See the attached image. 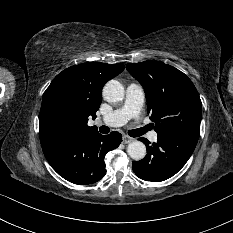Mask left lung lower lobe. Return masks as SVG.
I'll return each instance as SVG.
<instances>
[{
  "mask_svg": "<svg viewBox=\"0 0 233 233\" xmlns=\"http://www.w3.org/2000/svg\"><path fill=\"white\" fill-rule=\"evenodd\" d=\"M140 140L147 147V155L133 161V171L141 179L160 182L175 175L193 153L198 137L192 135L158 136L157 142L149 145L145 138Z\"/></svg>",
  "mask_w": 233,
  "mask_h": 233,
  "instance_id": "obj_1",
  "label": "left lung lower lobe"
}]
</instances>
